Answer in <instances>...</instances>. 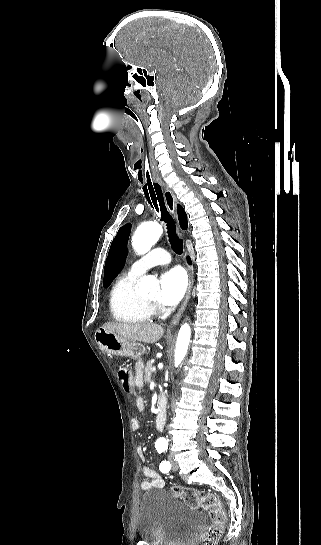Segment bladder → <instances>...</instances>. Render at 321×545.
Listing matches in <instances>:
<instances>
[{"instance_id": "obj_1", "label": "bladder", "mask_w": 321, "mask_h": 545, "mask_svg": "<svg viewBox=\"0 0 321 545\" xmlns=\"http://www.w3.org/2000/svg\"><path fill=\"white\" fill-rule=\"evenodd\" d=\"M205 516L173 493L151 488L140 501L138 533L148 545H191Z\"/></svg>"}]
</instances>
